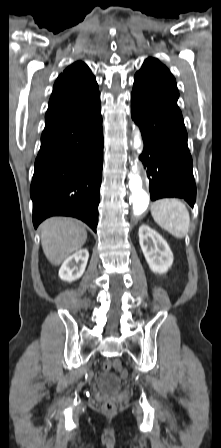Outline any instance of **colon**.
I'll return each instance as SVG.
<instances>
[{
	"label": "colon",
	"mask_w": 221,
	"mask_h": 448,
	"mask_svg": "<svg viewBox=\"0 0 221 448\" xmlns=\"http://www.w3.org/2000/svg\"><path fill=\"white\" fill-rule=\"evenodd\" d=\"M103 371L104 372H109L110 370L114 369L116 370L121 377L126 378L129 375V372L122 367L121 362L119 360H106L103 363ZM102 411L106 414V415H114L117 412V406L115 405L114 402L112 401H106L102 404Z\"/></svg>",
	"instance_id": "colon-1"
}]
</instances>
